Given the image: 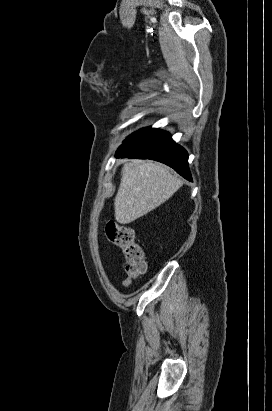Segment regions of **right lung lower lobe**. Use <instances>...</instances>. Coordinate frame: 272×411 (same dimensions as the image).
Wrapping results in <instances>:
<instances>
[{"label":"right lung lower lobe","mask_w":272,"mask_h":411,"mask_svg":"<svg viewBox=\"0 0 272 411\" xmlns=\"http://www.w3.org/2000/svg\"><path fill=\"white\" fill-rule=\"evenodd\" d=\"M117 156L156 160L172 167L185 179L192 181L186 150L176 144L166 131L147 128L129 136L119 147Z\"/></svg>","instance_id":"obj_1"}]
</instances>
